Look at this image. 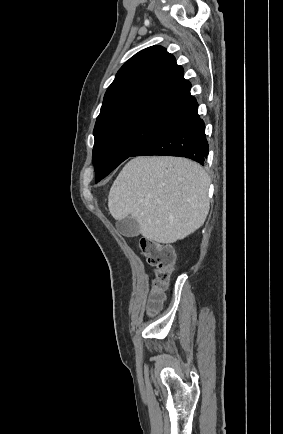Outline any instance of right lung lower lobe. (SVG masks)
I'll return each instance as SVG.
<instances>
[{"label":"right lung lower lobe","mask_w":283,"mask_h":434,"mask_svg":"<svg viewBox=\"0 0 283 434\" xmlns=\"http://www.w3.org/2000/svg\"><path fill=\"white\" fill-rule=\"evenodd\" d=\"M198 106L172 120L155 134L133 156L168 155L190 158L201 165L208 156L205 124L198 115Z\"/></svg>","instance_id":"98d812e1"}]
</instances>
